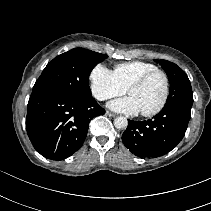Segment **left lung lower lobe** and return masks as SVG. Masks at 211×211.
<instances>
[{
  "label": "left lung lower lobe",
  "instance_id": "1",
  "mask_svg": "<svg viewBox=\"0 0 211 211\" xmlns=\"http://www.w3.org/2000/svg\"><path fill=\"white\" fill-rule=\"evenodd\" d=\"M191 107L174 103L147 121L128 120L122 134L124 145L138 157L154 158L172 149L184 137L190 120Z\"/></svg>",
  "mask_w": 211,
  "mask_h": 211
}]
</instances>
